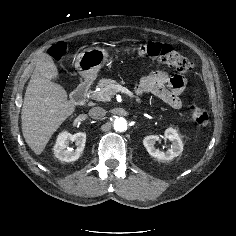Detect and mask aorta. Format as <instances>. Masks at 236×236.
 <instances>
[{
  "label": "aorta",
  "mask_w": 236,
  "mask_h": 236,
  "mask_svg": "<svg viewBox=\"0 0 236 236\" xmlns=\"http://www.w3.org/2000/svg\"><path fill=\"white\" fill-rule=\"evenodd\" d=\"M113 126H114V129L119 132H123L127 130V127H128L127 121L123 117L116 118L114 120Z\"/></svg>",
  "instance_id": "762f6f07"
}]
</instances>
